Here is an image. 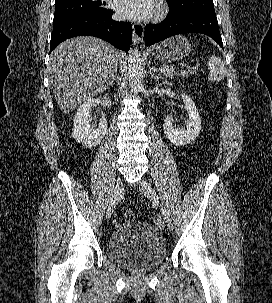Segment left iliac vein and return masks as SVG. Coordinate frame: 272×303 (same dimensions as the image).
I'll list each match as a JSON object with an SVG mask.
<instances>
[{
  "label": "left iliac vein",
  "mask_w": 272,
  "mask_h": 303,
  "mask_svg": "<svg viewBox=\"0 0 272 303\" xmlns=\"http://www.w3.org/2000/svg\"><path fill=\"white\" fill-rule=\"evenodd\" d=\"M139 185H140V189H141L142 193L146 197H148L154 201H157V194H156L155 190L152 188V186L147 181L142 180ZM162 213H163L166 225L168 226V228L170 230H173V222H172L170 214L167 211L162 212Z\"/></svg>",
  "instance_id": "left-iliac-vein-1"
}]
</instances>
